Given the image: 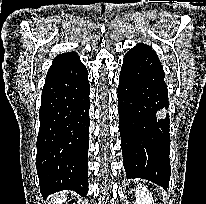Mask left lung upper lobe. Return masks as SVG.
<instances>
[{
    "label": "left lung upper lobe",
    "instance_id": "1",
    "mask_svg": "<svg viewBox=\"0 0 206 204\" xmlns=\"http://www.w3.org/2000/svg\"><path fill=\"white\" fill-rule=\"evenodd\" d=\"M125 57L128 58L130 64L134 67L146 59H158L157 54L151 49V47L143 43H139L137 46L132 48L127 52Z\"/></svg>",
    "mask_w": 206,
    "mask_h": 204
}]
</instances>
